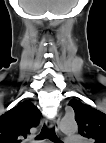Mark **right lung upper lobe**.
Here are the masks:
<instances>
[{"mask_svg": "<svg viewBox=\"0 0 106 143\" xmlns=\"http://www.w3.org/2000/svg\"><path fill=\"white\" fill-rule=\"evenodd\" d=\"M40 111L30 101L18 104L0 116V143H20L39 123Z\"/></svg>", "mask_w": 106, "mask_h": 143, "instance_id": "1", "label": "right lung upper lobe"}]
</instances>
